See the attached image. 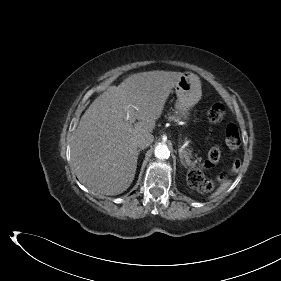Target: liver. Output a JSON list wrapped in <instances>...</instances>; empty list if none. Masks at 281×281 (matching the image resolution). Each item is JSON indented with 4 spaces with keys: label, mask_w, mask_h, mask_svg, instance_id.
<instances>
[{
    "label": "liver",
    "mask_w": 281,
    "mask_h": 281,
    "mask_svg": "<svg viewBox=\"0 0 281 281\" xmlns=\"http://www.w3.org/2000/svg\"><path fill=\"white\" fill-rule=\"evenodd\" d=\"M183 75L154 70L110 86L82 115L71 142L79 180L94 192L117 195L129 188L137 168V139L152 133L165 102ZM138 120H126L127 107Z\"/></svg>",
    "instance_id": "obj_1"
}]
</instances>
